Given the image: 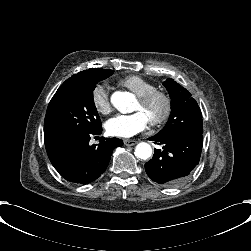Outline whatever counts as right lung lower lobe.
<instances>
[{"label":"right lung lower lobe","instance_id":"obj_1","mask_svg":"<svg viewBox=\"0 0 251 251\" xmlns=\"http://www.w3.org/2000/svg\"><path fill=\"white\" fill-rule=\"evenodd\" d=\"M100 130L92 133L70 134L45 143L48 157L67 181L88 184L98 179L106 170L114 148L123 145L118 138H102L100 143L89 145L92 135H99Z\"/></svg>","mask_w":251,"mask_h":251}]
</instances>
